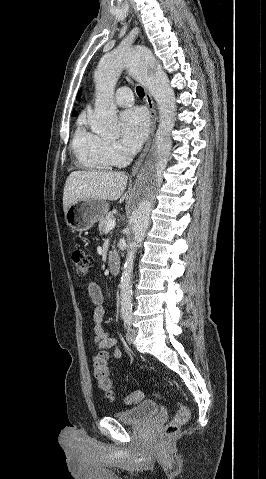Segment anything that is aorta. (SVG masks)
I'll list each match as a JSON object with an SVG mask.
<instances>
[{"label": "aorta", "instance_id": "1", "mask_svg": "<svg viewBox=\"0 0 266 479\" xmlns=\"http://www.w3.org/2000/svg\"><path fill=\"white\" fill-rule=\"evenodd\" d=\"M124 69L136 76L148 80L154 95L164 107L165 125L171 122L173 103L165 78L159 71L152 52L145 46L128 49H116L106 53L95 71L96 101L89 116L93 131L117 136L119 125L113 95L116 82ZM158 174L153 168L142 175L130 200L131 222L127 245L126 260L120 281L121 313L130 314L132 310V274L138 244L144 237L149 225L151 210L155 199Z\"/></svg>", "mask_w": 266, "mask_h": 479}]
</instances>
